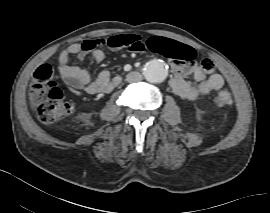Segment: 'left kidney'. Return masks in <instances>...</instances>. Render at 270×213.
<instances>
[{
    "instance_id": "left-kidney-1",
    "label": "left kidney",
    "mask_w": 270,
    "mask_h": 213,
    "mask_svg": "<svg viewBox=\"0 0 270 213\" xmlns=\"http://www.w3.org/2000/svg\"><path fill=\"white\" fill-rule=\"evenodd\" d=\"M196 118H197L198 120H200L201 114H200L199 112H196Z\"/></svg>"
}]
</instances>
